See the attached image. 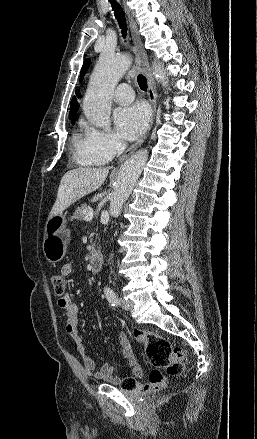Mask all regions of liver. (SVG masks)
<instances>
[{"label":"liver","mask_w":257,"mask_h":439,"mask_svg":"<svg viewBox=\"0 0 257 439\" xmlns=\"http://www.w3.org/2000/svg\"><path fill=\"white\" fill-rule=\"evenodd\" d=\"M107 168L80 167L64 174L49 218L61 214L77 200L97 190L106 180Z\"/></svg>","instance_id":"obj_1"}]
</instances>
